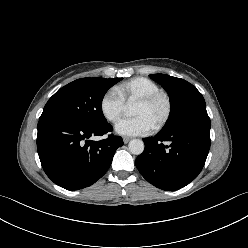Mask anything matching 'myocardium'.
<instances>
[{
    "label": "myocardium",
    "mask_w": 248,
    "mask_h": 248,
    "mask_svg": "<svg viewBox=\"0 0 248 248\" xmlns=\"http://www.w3.org/2000/svg\"><path fill=\"white\" fill-rule=\"evenodd\" d=\"M158 101H164L165 103V113L161 120L154 126L155 130H159L166 125L168 120L170 119L172 113V103L170 97L164 92H156L151 95L142 97L136 101V103L143 105H152Z\"/></svg>",
    "instance_id": "1"
}]
</instances>
